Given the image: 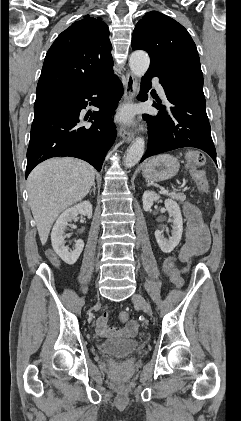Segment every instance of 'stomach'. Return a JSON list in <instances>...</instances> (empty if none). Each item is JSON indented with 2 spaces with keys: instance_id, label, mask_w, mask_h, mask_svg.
Listing matches in <instances>:
<instances>
[{
  "instance_id": "obj_1",
  "label": "stomach",
  "mask_w": 241,
  "mask_h": 421,
  "mask_svg": "<svg viewBox=\"0 0 241 421\" xmlns=\"http://www.w3.org/2000/svg\"><path fill=\"white\" fill-rule=\"evenodd\" d=\"M179 168L176 157L163 154L148 159L142 166V175L149 181H163L175 176Z\"/></svg>"
}]
</instances>
